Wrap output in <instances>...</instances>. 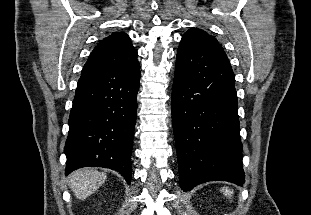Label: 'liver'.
I'll use <instances>...</instances> for the list:
<instances>
[{"label":"liver","instance_id":"1","mask_svg":"<svg viewBox=\"0 0 311 215\" xmlns=\"http://www.w3.org/2000/svg\"><path fill=\"white\" fill-rule=\"evenodd\" d=\"M105 180V173L83 168L71 173L69 187L78 199H85L98 190Z\"/></svg>","mask_w":311,"mask_h":215}]
</instances>
